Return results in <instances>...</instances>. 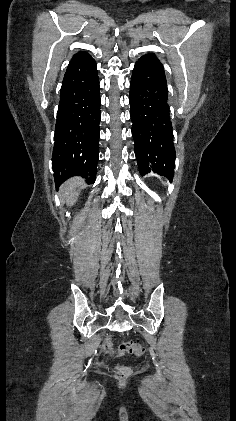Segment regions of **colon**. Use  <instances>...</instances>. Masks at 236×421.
<instances>
[{
	"label": "colon",
	"mask_w": 236,
	"mask_h": 421,
	"mask_svg": "<svg viewBox=\"0 0 236 421\" xmlns=\"http://www.w3.org/2000/svg\"><path fill=\"white\" fill-rule=\"evenodd\" d=\"M103 349L107 358H114L125 354L141 356L146 350L145 345L140 342H123L119 345L118 349H115L109 337L105 339ZM130 373L131 368L128 366L119 365L115 367V374L119 378L127 377Z\"/></svg>",
	"instance_id": "1"
}]
</instances>
